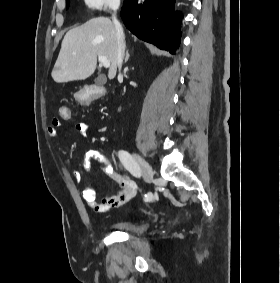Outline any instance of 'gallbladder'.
<instances>
[{
  "label": "gallbladder",
  "instance_id": "gallbladder-1",
  "mask_svg": "<svg viewBox=\"0 0 280 283\" xmlns=\"http://www.w3.org/2000/svg\"><path fill=\"white\" fill-rule=\"evenodd\" d=\"M95 84L98 86H102L106 82V78L103 75H99L97 78L94 80Z\"/></svg>",
  "mask_w": 280,
  "mask_h": 283
}]
</instances>
